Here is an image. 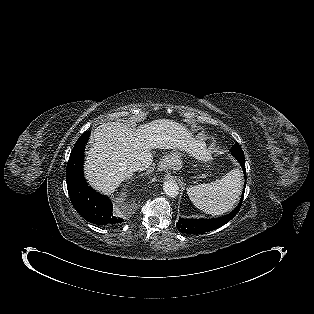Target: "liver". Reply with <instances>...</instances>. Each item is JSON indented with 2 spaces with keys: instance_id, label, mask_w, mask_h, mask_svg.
<instances>
[{
  "instance_id": "1",
  "label": "liver",
  "mask_w": 314,
  "mask_h": 314,
  "mask_svg": "<svg viewBox=\"0 0 314 314\" xmlns=\"http://www.w3.org/2000/svg\"><path fill=\"white\" fill-rule=\"evenodd\" d=\"M199 146L182 124L168 119L154 120L136 130L122 123H103L93 132L85 175L95 189L111 194L131 176L127 170L131 163L140 162L144 169L152 164V149L193 153Z\"/></svg>"
}]
</instances>
